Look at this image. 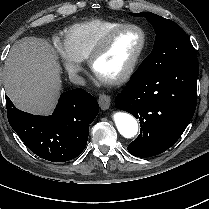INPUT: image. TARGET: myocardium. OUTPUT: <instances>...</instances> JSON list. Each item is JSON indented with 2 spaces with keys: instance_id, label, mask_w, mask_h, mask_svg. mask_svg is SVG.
<instances>
[{
  "instance_id": "f54148a6",
  "label": "myocardium",
  "mask_w": 209,
  "mask_h": 209,
  "mask_svg": "<svg viewBox=\"0 0 209 209\" xmlns=\"http://www.w3.org/2000/svg\"><path fill=\"white\" fill-rule=\"evenodd\" d=\"M124 30H137L141 33L142 40H141L140 47L138 48L137 52L135 53V55L133 56V58L131 59V61L127 65V67L120 74L112 76V77H106V76L100 75L96 71L97 61L105 53V51L109 47L113 37L117 33L124 31ZM147 43H148V36H147L146 31L142 27L135 25V24H131V23L118 24V25L112 27L111 29H109L101 37V39L99 40L97 45L94 47L93 51L91 52L90 56L88 57V65L90 67V70L93 73V75L103 83L110 84V85H117V84L124 83L135 74V72L140 64V61L144 55Z\"/></svg>"
}]
</instances>
